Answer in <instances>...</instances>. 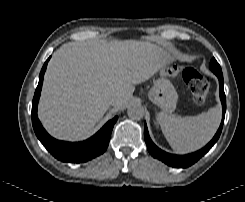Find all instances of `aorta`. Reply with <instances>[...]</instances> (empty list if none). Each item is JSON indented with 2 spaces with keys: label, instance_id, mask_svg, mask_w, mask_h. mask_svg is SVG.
<instances>
[{
  "label": "aorta",
  "instance_id": "762f6f07",
  "mask_svg": "<svg viewBox=\"0 0 245 202\" xmlns=\"http://www.w3.org/2000/svg\"><path fill=\"white\" fill-rule=\"evenodd\" d=\"M129 118L133 120H141L144 116V109L140 105H131L127 110Z\"/></svg>",
  "mask_w": 245,
  "mask_h": 202
}]
</instances>
